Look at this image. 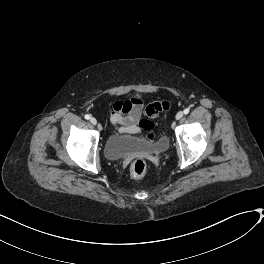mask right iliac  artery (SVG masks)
<instances>
[{"instance_id":"right-iliac-artery-1","label":"right iliac artery","mask_w":264,"mask_h":264,"mask_svg":"<svg viewBox=\"0 0 264 264\" xmlns=\"http://www.w3.org/2000/svg\"><path fill=\"white\" fill-rule=\"evenodd\" d=\"M84 117H85V119H87V120L90 119V115H89V114H86Z\"/></svg>"}]
</instances>
